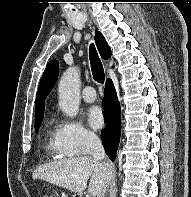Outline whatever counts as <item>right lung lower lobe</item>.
I'll list each match as a JSON object with an SVG mask.
<instances>
[{
	"label": "right lung lower lobe",
	"instance_id": "right-lung-lower-lobe-1",
	"mask_svg": "<svg viewBox=\"0 0 191 197\" xmlns=\"http://www.w3.org/2000/svg\"><path fill=\"white\" fill-rule=\"evenodd\" d=\"M104 94L106 128L101 133V139L106 154L114 161L121 133V111L115 87L110 79L106 81Z\"/></svg>",
	"mask_w": 191,
	"mask_h": 197
}]
</instances>
